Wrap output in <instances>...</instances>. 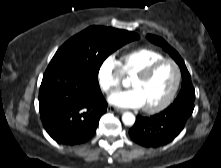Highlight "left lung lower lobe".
<instances>
[{
  "mask_svg": "<svg viewBox=\"0 0 221 168\" xmlns=\"http://www.w3.org/2000/svg\"><path fill=\"white\" fill-rule=\"evenodd\" d=\"M195 95L178 96L164 111L150 117L137 116L129 130L131 139L144 147L170 143L184 128L194 109Z\"/></svg>",
  "mask_w": 221,
  "mask_h": 168,
  "instance_id": "0a47b994",
  "label": "left lung lower lobe"
}]
</instances>
